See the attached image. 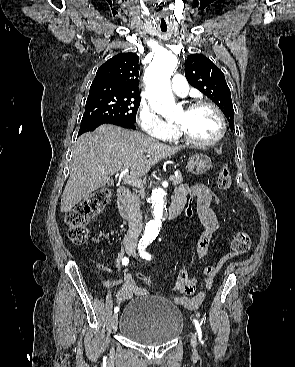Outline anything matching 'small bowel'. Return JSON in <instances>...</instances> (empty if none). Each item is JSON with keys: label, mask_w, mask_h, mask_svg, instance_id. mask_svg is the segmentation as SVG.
Here are the masks:
<instances>
[{"label": "small bowel", "mask_w": 295, "mask_h": 367, "mask_svg": "<svg viewBox=\"0 0 295 367\" xmlns=\"http://www.w3.org/2000/svg\"><path fill=\"white\" fill-rule=\"evenodd\" d=\"M189 195L196 196V211L202 224V230L197 242L194 260L201 261L207 253L214 232L219 228V220L212 208L214 193L205 185L197 183L192 186L182 184L175 189L174 200L187 204ZM100 266V265H99ZM221 268L207 265L202 268V287L197 290V279L191 277L189 269H181L177 275L175 289L181 294L177 301L189 310L197 309L205 299V289L210 290L213 279ZM122 284V288L115 294L114 299L118 303L125 302L135 295H144L146 291L138 287L131 274L127 270L122 271L121 278L115 280H101L103 286Z\"/></svg>", "instance_id": "obj_1"}]
</instances>
